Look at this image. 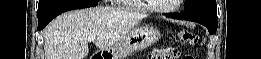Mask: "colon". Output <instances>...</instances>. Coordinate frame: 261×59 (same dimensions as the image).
I'll return each instance as SVG.
<instances>
[{
  "mask_svg": "<svg viewBox=\"0 0 261 59\" xmlns=\"http://www.w3.org/2000/svg\"><path fill=\"white\" fill-rule=\"evenodd\" d=\"M179 38L182 43L189 44V45H195L198 40L197 35L195 33L187 30H181L179 32ZM149 58L150 59H177V58L190 59L191 57L186 55L179 57V53L176 48L165 47L153 51L149 56Z\"/></svg>",
  "mask_w": 261,
  "mask_h": 59,
  "instance_id": "5ec220e1",
  "label": "colon"
}]
</instances>
